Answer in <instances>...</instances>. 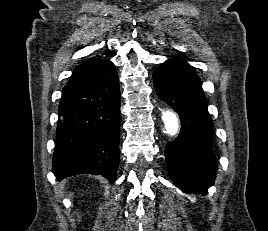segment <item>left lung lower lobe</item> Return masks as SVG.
I'll return each mask as SVG.
<instances>
[{"label": "left lung lower lobe", "instance_id": "1", "mask_svg": "<svg viewBox=\"0 0 268 231\" xmlns=\"http://www.w3.org/2000/svg\"><path fill=\"white\" fill-rule=\"evenodd\" d=\"M153 80L159 98L181 120L178 137L165 149L170 177L182 191L204 194L214 184L217 161L212 147L214 125L200 78L184 60L173 58L154 71Z\"/></svg>", "mask_w": 268, "mask_h": 231}]
</instances>
